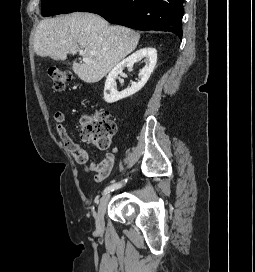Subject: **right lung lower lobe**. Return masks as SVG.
I'll return each instance as SVG.
<instances>
[{"instance_id":"right-lung-lower-lobe-1","label":"right lung lower lobe","mask_w":255,"mask_h":272,"mask_svg":"<svg viewBox=\"0 0 255 272\" xmlns=\"http://www.w3.org/2000/svg\"><path fill=\"white\" fill-rule=\"evenodd\" d=\"M78 11L136 30L169 31L180 39L183 35V0H92Z\"/></svg>"}]
</instances>
